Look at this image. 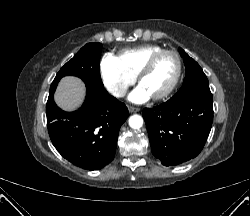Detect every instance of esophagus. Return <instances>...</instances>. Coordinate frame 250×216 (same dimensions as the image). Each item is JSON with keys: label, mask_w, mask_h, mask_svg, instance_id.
Instances as JSON below:
<instances>
[{"label": "esophagus", "mask_w": 250, "mask_h": 216, "mask_svg": "<svg viewBox=\"0 0 250 216\" xmlns=\"http://www.w3.org/2000/svg\"><path fill=\"white\" fill-rule=\"evenodd\" d=\"M128 110H129L131 113L139 112V111H140L139 108H136V107H133V106H128Z\"/></svg>", "instance_id": "1"}]
</instances>
